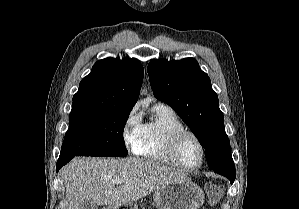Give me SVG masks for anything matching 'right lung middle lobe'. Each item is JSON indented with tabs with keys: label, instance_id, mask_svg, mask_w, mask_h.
I'll use <instances>...</instances> for the list:
<instances>
[{
	"label": "right lung middle lobe",
	"instance_id": "dd1d6c3e",
	"mask_svg": "<svg viewBox=\"0 0 299 209\" xmlns=\"http://www.w3.org/2000/svg\"><path fill=\"white\" fill-rule=\"evenodd\" d=\"M130 110L72 107L60 156H126L123 130Z\"/></svg>",
	"mask_w": 299,
	"mask_h": 209
}]
</instances>
